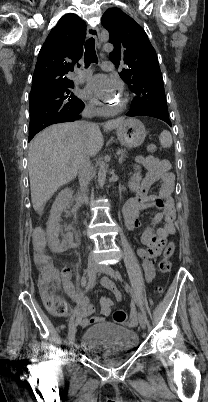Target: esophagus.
<instances>
[{"mask_svg": "<svg viewBox=\"0 0 208 402\" xmlns=\"http://www.w3.org/2000/svg\"><path fill=\"white\" fill-rule=\"evenodd\" d=\"M87 35H88V37H93L96 40L97 47L100 48L101 42H100V36H99L98 27H96V26L88 27L87 28Z\"/></svg>", "mask_w": 208, "mask_h": 402, "instance_id": "esophagus-1", "label": "esophagus"}]
</instances>
